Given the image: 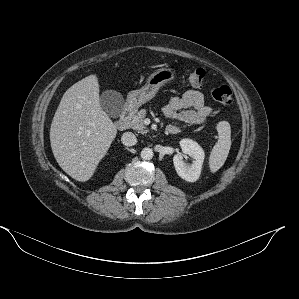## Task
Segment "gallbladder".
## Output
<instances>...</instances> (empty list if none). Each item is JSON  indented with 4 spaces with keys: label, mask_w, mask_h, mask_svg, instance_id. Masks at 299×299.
I'll use <instances>...</instances> for the list:
<instances>
[{
    "label": "gallbladder",
    "mask_w": 299,
    "mask_h": 299,
    "mask_svg": "<svg viewBox=\"0 0 299 299\" xmlns=\"http://www.w3.org/2000/svg\"><path fill=\"white\" fill-rule=\"evenodd\" d=\"M100 105L109 117L117 118L124 112L125 101L121 93L115 90H106L100 96Z\"/></svg>",
    "instance_id": "bac80fb5"
}]
</instances>
